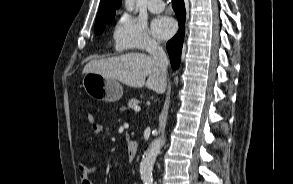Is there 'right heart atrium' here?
Wrapping results in <instances>:
<instances>
[{"label": "right heart atrium", "mask_w": 293, "mask_h": 184, "mask_svg": "<svg viewBox=\"0 0 293 184\" xmlns=\"http://www.w3.org/2000/svg\"><path fill=\"white\" fill-rule=\"evenodd\" d=\"M113 38L118 52L138 50L156 53L160 51L159 43L149 34L146 24L129 14H123L118 18Z\"/></svg>", "instance_id": "right-heart-atrium-1"}]
</instances>
